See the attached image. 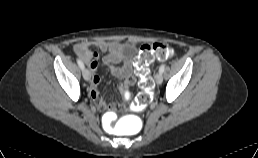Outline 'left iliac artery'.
I'll list each match as a JSON object with an SVG mask.
<instances>
[{
  "instance_id": "44dca946",
  "label": "left iliac artery",
  "mask_w": 258,
  "mask_h": 158,
  "mask_svg": "<svg viewBox=\"0 0 258 158\" xmlns=\"http://www.w3.org/2000/svg\"><path fill=\"white\" fill-rule=\"evenodd\" d=\"M165 66H166V64H162V65L160 66V68H159V72L163 73L164 70H165Z\"/></svg>"
}]
</instances>
